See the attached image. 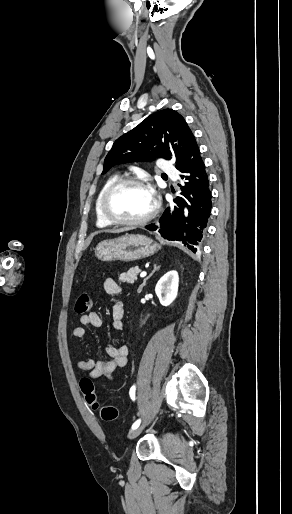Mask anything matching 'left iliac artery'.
Wrapping results in <instances>:
<instances>
[{
    "instance_id": "44dca946",
    "label": "left iliac artery",
    "mask_w": 292,
    "mask_h": 514,
    "mask_svg": "<svg viewBox=\"0 0 292 514\" xmlns=\"http://www.w3.org/2000/svg\"><path fill=\"white\" fill-rule=\"evenodd\" d=\"M135 390H136V386H135V385H133V386L131 387V389H130V397H131L132 399H134V398H135ZM140 422H141V421H140V419H139V420H137V421H135V422L133 423V425H132L131 429H132V430H135L136 428H138V427H139V425H140Z\"/></svg>"
}]
</instances>
